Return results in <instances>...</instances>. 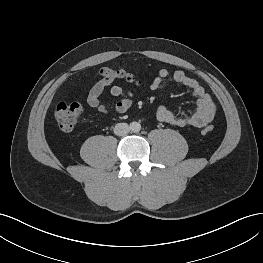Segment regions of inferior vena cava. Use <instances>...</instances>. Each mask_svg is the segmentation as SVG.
I'll return each mask as SVG.
<instances>
[{
    "instance_id": "obj_1",
    "label": "inferior vena cava",
    "mask_w": 263,
    "mask_h": 263,
    "mask_svg": "<svg viewBox=\"0 0 263 263\" xmlns=\"http://www.w3.org/2000/svg\"><path fill=\"white\" fill-rule=\"evenodd\" d=\"M130 131V127L127 123H118L115 125L114 133L118 136H124L128 134Z\"/></svg>"
}]
</instances>
